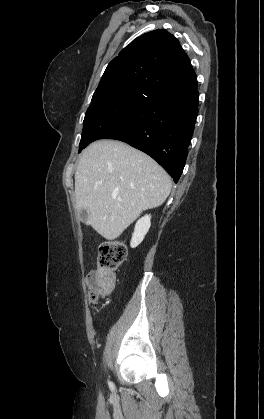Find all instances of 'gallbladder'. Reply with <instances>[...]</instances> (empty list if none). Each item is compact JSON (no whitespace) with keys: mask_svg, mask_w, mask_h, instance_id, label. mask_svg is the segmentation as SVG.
Masks as SVG:
<instances>
[{"mask_svg":"<svg viewBox=\"0 0 264 419\" xmlns=\"http://www.w3.org/2000/svg\"><path fill=\"white\" fill-rule=\"evenodd\" d=\"M80 215H81V218H82V219H84V220H85V219L87 218V216H88L87 212H86V211H84V210H83V211H81Z\"/></svg>","mask_w":264,"mask_h":419,"instance_id":"gallbladder-1","label":"gallbladder"}]
</instances>
